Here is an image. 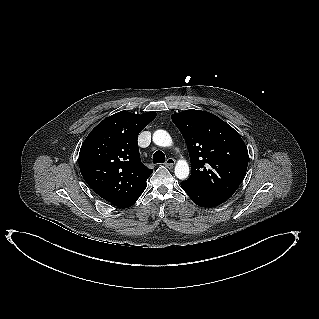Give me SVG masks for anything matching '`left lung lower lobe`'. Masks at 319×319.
Returning a JSON list of instances; mask_svg holds the SVG:
<instances>
[{"instance_id": "1", "label": "left lung lower lobe", "mask_w": 319, "mask_h": 319, "mask_svg": "<svg viewBox=\"0 0 319 319\" xmlns=\"http://www.w3.org/2000/svg\"><path fill=\"white\" fill-rule=\"evenodd\" d=\"M182 189L188 196L201 207H214L224 203L227 199L215 196L206 191L195 188L184 181L181 182Z\"/></svg>"}]
</instances>
